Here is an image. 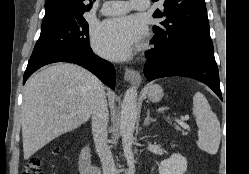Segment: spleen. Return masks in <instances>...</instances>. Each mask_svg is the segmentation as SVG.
Here are the masks:
<instances>
[{"mask_svg": "<svg viewBox=\"0 0 249 174\" xmlns=\"http://www.w3.org/2000/svg\"><path fill=\"white\" fill-rule=\"evenodd\" d=\"M193 115L199 128L197 146L209 154H216L221 140L220 123L200 92L193 96Z\"/></svg>", "mask_w": 249, "mask_h": 174, "instance_id": "3e777b00", "label": "spleen"}]
</instances>
